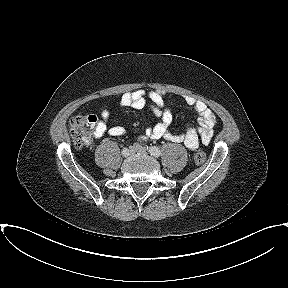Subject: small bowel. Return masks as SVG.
<instances>
[{
  "mask_svg": "<svg viewBox=\"0 0 288 288\" xmlns=\"http://www.w3.org/2000/svg\"><path fill=\"white\" fill-rule=\"evenodd\" d=\"M184 100L198 115V126L188 127L184 133L176 134L170 131L173 115L164 106L163 92L158 90L146 91L139 89L129 91L122 95L119 106L123 108L142 109L148 107L151 112L159 119L153 127H148L144 131L142 138L159 139L164 138L174 143H183L189 150L194 151L198 148L199 140L208 144L214 136V126L216 117L205 103L193 97L185 96ZM102 118L96 125L94 136L99 138L105 133L111 136H122L125 129L121 126H108L107 120L110 117V110L107 107L100 109Z\"/></svg>",
  "mask_w": 288,
  "mask_h": 288,
  "instance_id": "small-bowel-1",
  "label": "small bowel"
}]
</instances>
